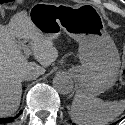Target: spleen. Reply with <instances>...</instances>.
I'll list each match as a JSON object with an SVG mask.
<instances>
[{
    "mask_svg": "<svg viewBox=\"0 0 125 125\" xmlns=\"http://www.w3.org/2000/svg\"><path fill=\"white\" fill-rule=\"evenodd\" d=\"M125 110V100L106 101L76 93L71 105V119L78 125H107Z\"/></svg>",
    "mask_w": 125,
    "mask_h": 125,
    "instance_id": "3e777b00",
    "label": "spleen"
}]
</instances>
